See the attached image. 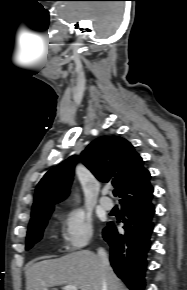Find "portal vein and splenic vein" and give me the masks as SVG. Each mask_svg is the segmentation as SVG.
I'll return each mask as SVG.
<instances>
[{
	"instance_id": "obj_1",
	"label": "portal vein and splenic vein",
	"mask_w": 187,
	"mask_h": 290,
	"mask_svg": "<svg viewBox=\"0 0 187 290\" xmlns=\"http://www.w3.org/2000/svg\"><path fill=\"white\" fill-rule=\"evenodd\" d=\"M62 289L63 290H78V287L75 285H65V286H63ZM44 290H47V289H44Z\"/></svg>"
}]
</instances>
